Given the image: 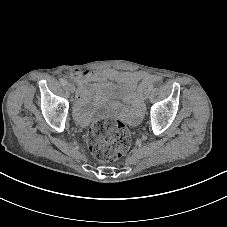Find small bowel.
<instances>
[{"mask_svg": "<svg viewBox=\"0 0 227 227\" xmlns=\"http://www.w3.org/2000/svg\"><path fill=\"white\" fill-rule=\"evenodd\" d=\"M71 77L78 83L79 86L77 93L76 116L78 120L82 123H85L87 121L85 105L94 91L93 88L88 86L90 82L99 81L105 78L120 79L127 82L131 86H135L138 82H141L140 89H143L150 82L156 80L154 76H148L143 73L118 72L113 69L96 71L75 70L71 73Z\"/></svg>", "mask_w": 227, "mask_h": 227, "instance_id": "1", "label": "small bowel"}]
</instances>
